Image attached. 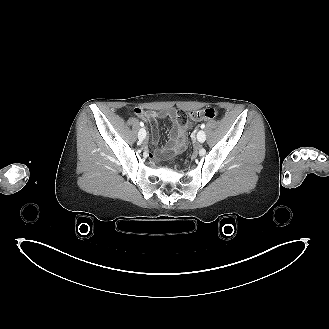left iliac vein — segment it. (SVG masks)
<instances>
[{
    "instance_id": "1",
    "label": "left iliac vein",
    "mask_w": 329,
    "mask_h": 329,
    "mask_svg": "<svg viewBox=\"0 0 329 329\" xmlns=\"http://www.w3.org/2000/svg\"><path fill=\"white\" fill-rule=\"evenodd\" d=\"M197 140L200 142V143H203L205 140H206V134L203 130H200L198 133H197Z\"/></svg>"
}]
</instances>
